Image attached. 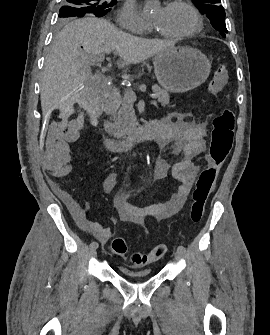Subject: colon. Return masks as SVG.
<instances>
[{"label": "colon", "mask_w": 270, "mask_h": 335, "mask_svg": "<svg viewBox=\"0 0 270 335\" xmlns=\"http://www.w3.org/2000/svg\"><path fill=\"white\" fill-rule=\"evenodd\" d=\"M228 82V66L217 68L209 84L210 93H221ZM211 144L209 147L210 163L202 169L192 193L189 220L192 223L201 222L204 216L208 196L214 188L220 166L227 160L234 140L235 115L232 109L226 108L217 113L212 120ZM111 248L116 255L124 256L128 247L126 239L115 237ZM167 253L166 245H156L145 253H133L130 261L133 266L140 267L158 261Z\"/></svg>", "instance_id": "obj_1"}]
</instances>
